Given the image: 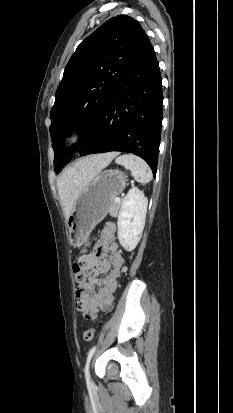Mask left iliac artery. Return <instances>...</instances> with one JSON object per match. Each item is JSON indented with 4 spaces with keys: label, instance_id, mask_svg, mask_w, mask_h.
I'll return each mask as SVG.
<instances>
[{
    "label": "left iliac artery",
    "instance_id": "left-iliac-artery-1",
    "mask_svg": "<svg viewBox=\"0 0 233 413\" xmlns=\"http://www.w3.org/2000/svg\"><path fill=\"white\" fill-rule=\"evenodd\" d=\"M95 350H96V346L92 347V348L90 349L89 353H88V357H87V361H86V365H85V377H86L87 380H89V378H90V375H89V363H90V361H91V358H92Z\"/></svg>",
    "mask_w": 233,
    "mask_h": 413
}]
</instances>
